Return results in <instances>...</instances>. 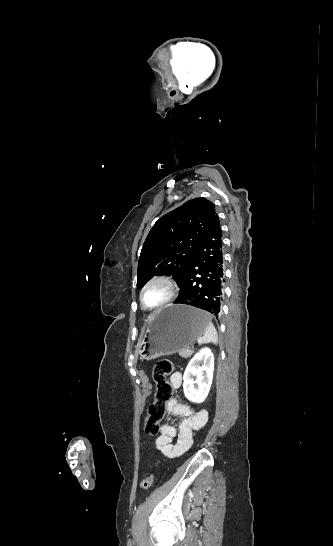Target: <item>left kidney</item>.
Masks as SVG:
<instances>
[{
    "label": "left kidney",
    "mask_w": 333,
    "mask_h": 546,
    "mask_svg": "<svg viewBox=\"0 0 333 546\" xmlns=\"http://www.w3.org/2000/svg\"><path fill=\"white\" fill-rule=\"evenodd\" d=\"M213 371L214 355L209 348H202L190 360L184 372L183 390L188 400L201 403L206 399L212 384Z\"/></svg>",
    "instance_id": "1"
}]
</instances>
